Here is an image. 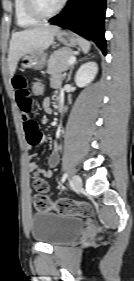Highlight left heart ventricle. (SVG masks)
<instances>
[{
  "instance_id": "obj_1",
  "label": "left heart ventricle",
  "mask_w": 134,
  "mask_h": 281,
  "mask_svg": "<svg viewBox=\"0 0 134 281\" xmlns=\"http://www.w3.org/2000/svg\"><path fill=\"white\" fill-rule=\"evenodd\" d=\"M40 8L45 12L54 10L61 0H37Z\"/></svg>"
}]
</instances>
